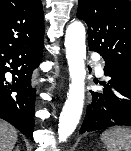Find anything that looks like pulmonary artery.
Segmentation results:
<instances>
[{"instance_id":"e3ab8cb5","label":"pulmonary artery","mask_w":131,"mask_h":151,"mask_svg":"<svg viewBox=\"0 0 131 151\" xmlns=\"http://www.w3.org/2000/svg\"><path fill=\"white\" fill-rule=\"evenodd\" d=\"M95 70L98 75H103V69L101 68V66L97 65Z\"/></svg>"}]
</instances>
